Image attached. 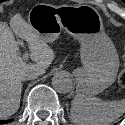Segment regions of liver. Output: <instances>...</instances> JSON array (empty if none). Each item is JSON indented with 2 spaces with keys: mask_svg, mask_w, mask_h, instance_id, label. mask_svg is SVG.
Instances as JSON below:
<instances>
[{
  "mask_svg": "<svg viewBox=\"0 0 125 125\" xmlns=\"http://www.w3.org/2000/svg\"><path fill=\"white\" fill-rule=\"evenodd\" d=\"M14 34L28 43L30 58L35 63L27 64L19 56ZM54 57V51L21 15H14L10 26L0 22V119L15 114L19 109L22 76L28 72L44 74Z\"/></svg>",
  "mask_w": 125,
  "mask_h": 125,
  "instance_id": "1",
  "label": "liver"
}]
</instances>
